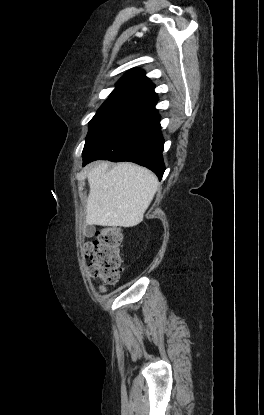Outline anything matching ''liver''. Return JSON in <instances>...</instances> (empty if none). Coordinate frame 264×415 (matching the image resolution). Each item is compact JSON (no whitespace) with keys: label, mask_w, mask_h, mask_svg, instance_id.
Wrapping results in <instances>:
<instances>
[{"label":"liver","mask_w":264,"mask_h":415,"mask_svg":"<svg viewBox=\"0 0 264 415\" xmlns=\"http://www.w3.org/2000/svg\"><path fill=\"white\" fill-rule=\"evenodd\" d=\"M109 162L94 164L88 172L87 225L133 227L158 188L156 175L145 167L123 162L109 169Z\"/></svg>","instance_id":"6515ba94"}]
</instances>
